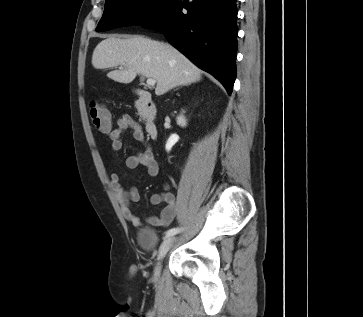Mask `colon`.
Returning a JSON list of instances; mask_svg holds the SVG:
<instances>
[{"label":"colon","instance_id":"colon-1","mask_svg":"<svg viewBox=\"0 0 363 317\" xmlns=\"http://www.w3.org/2000/svg\"><path fill=\"white\" fill-rule=\"evenodd\" d=\"M89 114L94 127L102 132L110 128V116L107 108L95 101L89 106Z\"/></svg>","mask_w":363,"mask_h":317}]
</instances>
